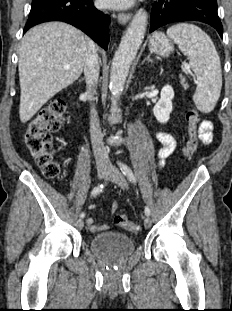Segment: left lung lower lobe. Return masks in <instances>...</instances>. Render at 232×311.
Segmentation results:
<instances>
[{"label": "left lung lower lobe", "instance_id": "obj_1", "mask_svg": "<svg viewBox=\"0 0 232 311\" xmlns=\"http://www.w3.org/2000/svg\"><path fill=\"white\" fill-rule=\"evenodd\" d=\"M180 21H201L214 27L221 37L223 35L216 0L154 1L150 32L168 23Z\"/></svg>", "mask_w": 232, "mask_h": 311}]
</instances>
